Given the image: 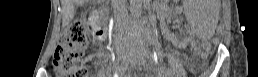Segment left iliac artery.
<instances>
[{
	"instance_id": "44dca946",
	"label": "left iliac artery",
	"mask_w": 258,
	"mask_h": 77,
	"mask_svg": "<svg viewBox=\"0 0 258 77\" xmlns=\"http://www.w3.org/2000/svg\"><path fill=\"white\" fill-rule=\"evenodd\" d=\"M154 54H155V57L157 59V54L160 55L161 51L160 50H156V52L154 51ZM144 55L149 57L150 54L145 52Z\"/></svg>"
}]
</instances>
